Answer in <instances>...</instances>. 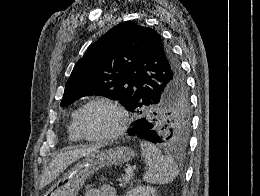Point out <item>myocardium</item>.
<instances>
[{
	"instance_id": "obj_1",
	"label": "myocardium",
	"mask_w": 260,
	"mask_h": 196,
	"mask_svg": "<svg viewBox=\"0 0 260 196\" xmlns=\"http://www.w3.org/2000/svg\"><path fill=\"white\" fill-rule=\"evenodd\" d=\"M98 102L108 104L116 110L120 120L119 125L113 131L101 136L86 135L80 126L81 113L91 104L98 103ZM128 125H129V116L124 106L118 100L104 95L94 96L90 98L88 101H86L83 105H81L78 108L74 116V126L78 131L81 139L89 142H94V143H103L119 137L126 131Z\"/></svg>"
}]
</instances>
